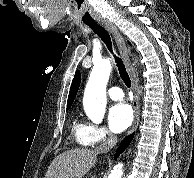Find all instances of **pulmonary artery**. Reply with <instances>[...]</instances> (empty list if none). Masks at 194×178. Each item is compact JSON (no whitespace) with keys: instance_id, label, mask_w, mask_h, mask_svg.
<instances>
[{"instance_id":"e3ab8cb5","label":"pulmonary artery","mask_w":194,"mask_h":178,"mask_svg":"<svg viewBox=\"0 0 194 178\" xmlns=\"http://www.w3.org/2000/svg\"><path fill=\"white\" fill-rule=\"evenodd\" d=\"M108 96L112 99V100H122L124 97V93L122 91L121 88L119 87H111L108 92H107Z\"/></svg>"}]
</instances>
